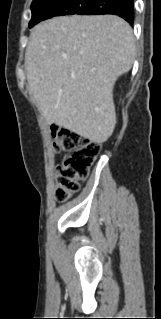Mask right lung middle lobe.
I'll list each match as a JSON object with an SVG mask.
<instances>
[{"instance_id":"dd1d6c3e","label":"right lung middle lobe","mask_w":161,"mask_h":319,"mask_svg":"<svg viewBox=\"0 0 161 319\" xmlns=\"http://www.w3.org/2000/svg\"><path fill=\"white\" fill-rule=\"evenodd\" d=\"M91 0H33L29 27L54 16L74 15L83 10Z\"/></svg>"}]
</instances>
